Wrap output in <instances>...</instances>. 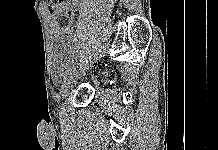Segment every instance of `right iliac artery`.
Instances as JSON below:
<instances>
[{"label": "right iliac artery", "instance_id": "1", "mask_svg": "<svg viewBox=\"0 0 218 150\" xmlns=\"http://www.w3.org/2000/svg\"><path fill=\"white\" fill-rule=\"evenodd\" d=\"M76 58H77V57H74V56H73V57L71 58V62L74 63V59H76ZM76 61H77V60H75V62H76Z\"/></svg>", "mask_w": 218, "mask_h": 150}]
</instances>
